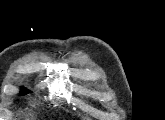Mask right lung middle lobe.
<instances>
[{"mask_svg":"<svg viewBox=\"0 0 165 120\" xmlns=\"http://www.w3.org/2000/svg\"><path fill=\"white\" fill-rule=\"evenodd\" d=\"M26 93H28V90L26 88H23L22 89V94H26Z\"/></svg>","mask_w":165,"mask_h":120,"instance_id":"1","label":"right lung middle lobe"}]
</instances>
